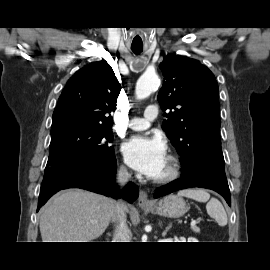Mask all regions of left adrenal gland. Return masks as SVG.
Returning a JSON list of instances; mask_svg holds the SVG:
<instances>
[{"mask_svg": "<svg viewBox=\"0 0 270 270\" xmlns=\"http://www.w3.org/2000/svg\"><path fill=\"white\" fill-rule=\"evenodd\" d=\"M171 228V225H168L166 228H165V230H164V232H163V236L165 237L166 236V234H167V232L169 231V229Z\"/></svg>", "mask_w": 270, "mask_h": 270, "instance_id": "obj_1", "label": "left adrenal gland"}]
</instances>
